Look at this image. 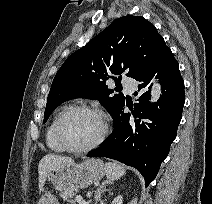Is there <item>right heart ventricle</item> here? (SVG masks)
Listing matches in <instances>:
<instances>
[{
  "mask_svg": "<svg viewBox=\"0 0 212 204\" xmlns=\"http://www.w3.org/2000/svg\"><path fill=\"white\" fill-rule=\"evenodd\" d=\"M58 116H55L54 119L51 121L50 125L47 128L46 131V144L47 146L54 152H64L65 150L60 146V144L57 142L55 138V133H54V127H55V122Z\"/></svg>",
  "mask_w": 212,
  "mask_h": 204,
  "instance_id": "e07e8e85",
  "label": "right heart ventricle"
}]
</instances>
